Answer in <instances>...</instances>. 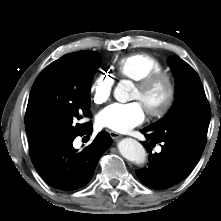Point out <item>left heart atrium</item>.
Returning <instances> with one entry per match:
<instances>
[{
	"instance_id": "left-heart-atrium-1",
	"label": "left heart atrium",
	"mask_w": 221,
	"mask_h": 221,
	"mask_svg": "<svg viewBox=\"0 0 221 221\" xmlns=\"http://www.w3.org/2000/svg\"><path fill=\"white\" fill-rule=\"evenodd\" d=\"M146 111L140 101L130 103H114L101 110L96 118L98 126L117 132H128L140 125Z\"/></svg>"
}]
</instances>
